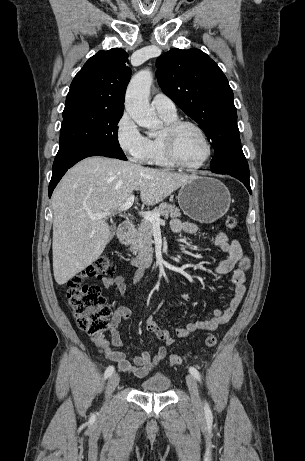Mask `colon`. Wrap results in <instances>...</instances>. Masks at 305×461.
<instances>
[{
    "mask_svg": "<svg viewBox=\"0 0 305 461\" xmlns=\"http://www.w3.org/2000/svg\"><path fill=\"white\" fill-rule=\"evenodd\" d=\"M226 226L234 230L238 221L233 216L226 218ZM114 272L112 261L108 255L99 256L93 264L83 272L72 276L67 281V300L79 327L92 335H100L108 328V318L111 315V308L106 303L100 288L96 285L85 284V279L107 278ZM217 343L215 335L208 336L204 345L212 348ZM183 357L173 354L169 358L170 366L180 365Z\"/></svg>",
    "mask_w": 305,
    "mask_h": 461,
    "instance_id": "5ec220e1",
    "label": "colon"
}]
</instances>
